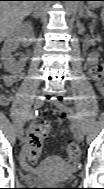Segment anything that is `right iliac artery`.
Masks as SVG:
<instances>
[{"mask_svg":"<svg viewBox=\"0 0 104 189\" xmlns=\"http://www.w3.org/2000/svg\"><path fill=\"white\" fill-rule=\"evenodd\" d=\"M37 112L38 111L36 110L29 113L26 122H22V128H26V125H31V122H34V118L36 117Z\"/></svg>","mask_w":104,"mask_h":189,"instance_id":"right-iliac-artery-1","label":"right iliac artery"}]
</instances>
